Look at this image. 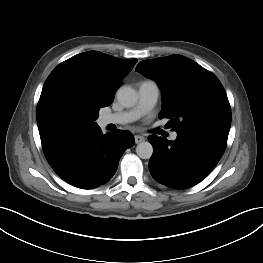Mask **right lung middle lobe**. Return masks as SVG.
Returning a JSON list of instances; mask_svg holds the SVG:
<instances>
[{"instance_id":"right-lung-middle-lobe-1","label":"right lung middle lobe","mask_w":263,"mask_h":263,"mask_svg":"<svg viewBox=\"0 0 263 263\" xmlns=\"http://www.w3.org/2000/svg\"><path fill=\"white\" fill-rule=\"evenodd\" d=\"M102 101L74 85H57L47 91L37 106L40 138L88 130L97 127L95 120Z\"/></svg>"}]
</instances>
